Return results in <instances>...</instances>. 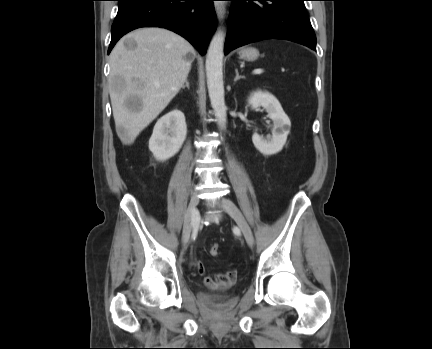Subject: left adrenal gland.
Masks as SVG:
<instances>
[{
	"mask_svg": "<svg viewBox=\"0 0 432 349\" xmlns=\"http://www.w3.org/2000/svg\"><path fill=\"white\" fill-rule=\"evenodd\" d=\"M236 77L234 78V82H237L239 79H243L244 76L239 75L238 69H235Z\"/></svg>",
	"mask_w": 432,
	"mask_h": 349,
	"instance_id": "a2214340",
	"label": "left adrenal gland"
}]
</instances>
